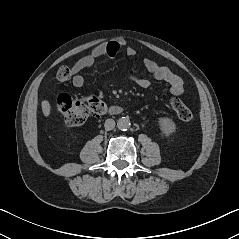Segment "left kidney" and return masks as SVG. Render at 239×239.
Segmentation results:
<instances>
[{
  "label": "left kidney",
  "instance_id": "1",
  "mask_svg": "<svg viewBox=\"0 0 239 239\" xmlns=\"http://www.w3.org/2000/svg\"><path fill=\"white\" fill-rule=\"evenodd\" d=\"M158 122L160 125V129L165 136H169L176 131V125L172 119L167 117H161L159 118Z\"/></svg>",
  "mask_w": 239,
  "mask_h": 239
}]
</instances>
